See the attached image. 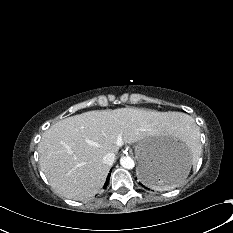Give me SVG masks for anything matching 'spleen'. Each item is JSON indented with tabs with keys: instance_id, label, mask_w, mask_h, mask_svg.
Segmentation results:
<instances>
[{
	"instance_id": "1",
	"label": "spleen",
	"mask_w": 233,
	"mask_h": 233,
	"mask_svg": "<svg viewBox=\"0 0 233 233\" xmlns=\"http://www.w3.org/2000/svg\"><path fill=\"white\" fill-rule=\"evenodd\" d=\"M174 131L184 139L186 144L190 147L194 158L198 156V148H199V142H198V135L199 130L194 124V122L187 116H185V119L178 124V126L174 129ZM188 176V174L185 176V178ZM185 178L179 179L176 183H174L171 186H168L165 189H172L175 188L179 183H181ZM161 190V189H160Z\"/></svg>"
}]
</instances>
